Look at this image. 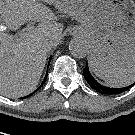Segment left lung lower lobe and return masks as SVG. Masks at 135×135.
Masks as SVG:
<instances>
[{
	"label": "left lung lower lobe",
	"mask_w": 135,
	"mask_h": 135,
	"mask_svg": "<svg viewBox=\"0 0 135 135\" xmlns=\"http://www.w3.org/2000/svg\"><path fill=\"white\" fill-rule=\"evenodd\" d=\"M83 74L86 81L89 83V85L94 90L102 94H109V95L120 94L135 85V83H133L130 86L124 88H110V87L102 86L92 77V75L89 72L88 65H86L85 69L83 70Z\"/></svg>",
	"instance_id": "1"
}]
</instances>
